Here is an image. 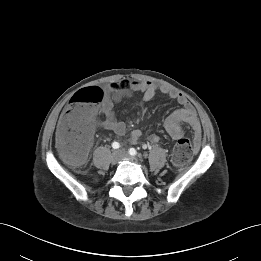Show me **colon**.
Returning <instances> with one entry per match:
<instances>
[{"label": "colon", "instance_id": "obj_1", "mask_svg": "<svg viewBox=\"0 0 261 261\" xmlns=\"http://www.w3.org/2000/svg\"><path fill=\"white\" fill-rule=\"evenodd\" d=\"M100 87H88L76 92L69 101V110L60 120L58 134L60 153L72 165L84 163L90 147L89 121L97 106L103 101ZM194 149L189 139H177L172 152L175 166L186 165L193 157Z\"/></svg>", "mask_w": 261, "mask_h": 261}]
</instances>
